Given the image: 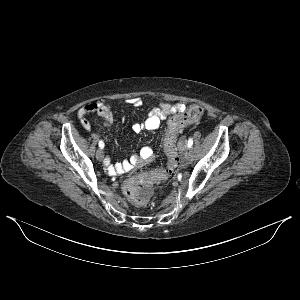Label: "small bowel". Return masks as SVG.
Segmentation results:
<instances>
[{"instance_id":"small-bowel-1","label":"small bowel","mask_w":300,"mask_h":300,"mask_svg":"<svg viewBox=\"0 0 300 300\" xmlns=\"http://www.w3.org/2000/svg\"><path fill=\"white\" fill-rule=\"evenodd\" d=\"M128 102L135 107H138L142 104L141 99L138 97L131 98ZM185 107L186 106L183 103H176L173 105L161 103L158 107L153 108L142 122L134 123L132 125V129L135 133H140L144 129H157L164 119L176 112L184 110ZM90 114H98L104 119L107 125L112 124L114 121V115L109 105L101 102L88 103L81 107L77 112L78 119L86 131L91 129V124L87 118V116ZM152 158V149L149 147H142L139 152L132 156L129 160L112 163L111 159L106 157L103 163L104 167L110 174L118 175L135 167L142 166L145 163L150 162Z\"/></svg>"}]
</instances>
